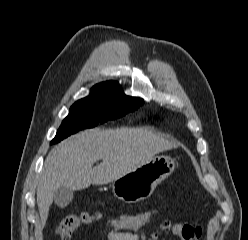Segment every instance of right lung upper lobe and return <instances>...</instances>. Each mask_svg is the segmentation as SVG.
<instances>
[{
    "label": "right lung upper lobe",
    "mask_w": 248,
    "mask_h": 240,
    "mask_svg": "<svg viewBox=\"0 0 248 240\" xmlns=\"http://www.w3.org/2000/svg\"><path fill=\"white\" fill-rule=\"evenodd\" d=\"M120 87V85L114 81H107V82H102L97 85H95L91 90L97 89V90H103V91H111L114 89H117Z\"/></svg>",
    "instance_id": "cb5924a9"
}]
</instances>
